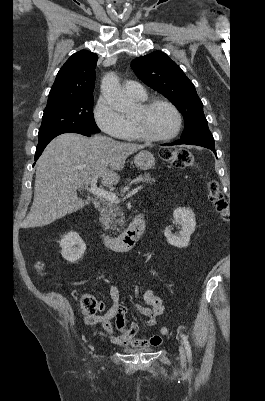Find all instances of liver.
<instances>
[{
    "label": "liver",
    "mask_w": 265,
    "mask_h": 401,
    "mask_svg": "<svg viewBox=\"0 0 265 401\" xmlns=\"http://www.w3.org/2000/svg\"><path fill=\"white\" fill-rule=\"evenodd\" d=\"M144 146L101 134L87 138L65 132L53 138L37 160L34 201L24 229L45 227L83 209L86 203L78 198L77 188L88 186L94 176H102L104 186L117 184L120 176L115 170H122L127 156Z\"/></svg>",
    "instance_id": "6515ba94"
}]
</instances>
